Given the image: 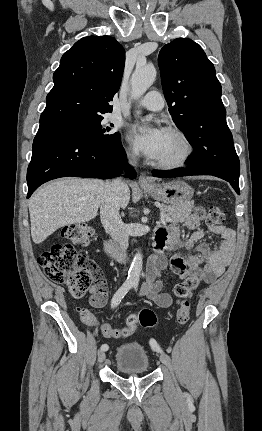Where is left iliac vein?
Masks as SVG:
<instances>
[{
	"label": "left iliac vein",
	"instance_id": "obj_1",
	"mask_svg": "<svg viewBox=\"0 0 262 431\" xmlns=\"http://www.w3.org/2000/svg\"><path fill=\"white\" fill-rule=\"evenodd\" d=\"M160 361L170 370L172 369L170 357L166 353H162L160 356Z\"/></svg>",
	"mask_w": 262,
	"mask_h": 431
}]
</instances>
